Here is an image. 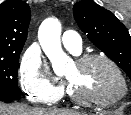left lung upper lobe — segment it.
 <instances>
[{
  "instance_id": "obj_1",
  "label": "left lung upper lobe",
  "mask_w": 131,
  "mask_h": 115,
  "mask_svg": "<svg viewBox=\"0 0 131 115\" xmlns=\"http://www.w3.org/2000/svg\"><path fill=\"white\" fill-rule=\"evenodd\" d=\"M74 18L89 40L113 60L131 80V37L126 27L93 0L74 4Z\"/></svg>"
}]
</instances>
